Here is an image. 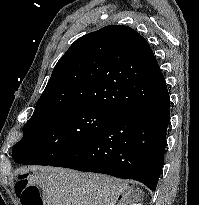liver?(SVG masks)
<instances>
[{
    "mask_svg": "<svg viewBox=\"0 0 199 205\" xmlns=\"http://www.w3.org/2000/svg\"><path fill=\"white\" fill-rule=\"evenodd\" d=\"M44 205H115L119 196L130 204L139 197L128 183L110 176L65 168H38Z\"/></svg>",
    "mask_w": 199,
    "mask_h": 205,
    "instance_id": "1",
    "label": "liver"
}]
</instances>
